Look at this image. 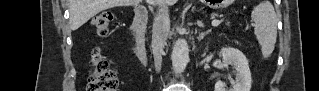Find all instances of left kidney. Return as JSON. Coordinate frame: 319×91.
I'll return each instance as SVG.
<instances>
[{"label":"left kidney","instance_id":"obj_1","mask_svg":"<svg viewBox=\"0 0 319 91\" xmlns=\"http://www.w3.org/2000/svg\"><path fill=\"white\" fill-rule=\"evenodd\" d=\"M221 55L224 65L233 66L236 72L235 80H231V88L221 80L215 83V91H250L251 89V72L245 55L238 49L227 47L221 49Z\"/></svg>","mask_w":319,"mask_h":91}]
</instances>
